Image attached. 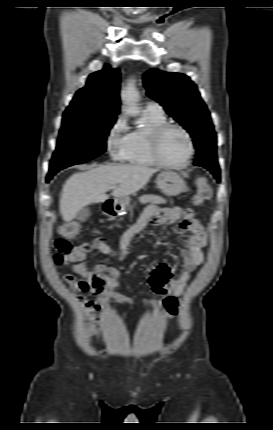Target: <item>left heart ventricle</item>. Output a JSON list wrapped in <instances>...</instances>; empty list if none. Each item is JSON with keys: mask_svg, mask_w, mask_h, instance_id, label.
<instances>
[{"mask_svg": "<svg viewBox=\"0 0 273 430\" xmlns=\"http://www.w3.org/2000/svg\"><path fill=\"white\" fill-rule=\"evenodd\" d=\"M160 153L165 162L182 163L188 153V143L184 134L176 129L166 131L161 139Z\"/></svg>", "mask_w": 273, "mask_h": 430, "instance_id": "1", "label": "left heart ventricle"}]
</instances>
